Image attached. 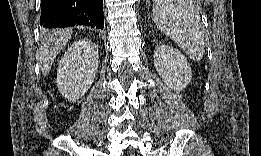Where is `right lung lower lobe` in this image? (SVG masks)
Instances as JSON below:
<instances>
[{"mask_svg":"<svg viewBox=\"0 0 261 156\" xmlns=\"http://www.w3.org/2000/svg\"><path fill=\"white\" fill-rule=\"evenodd\" d=\"M44 29L86 25L103 29V0H42Z\"/></svg>","mask_w":261,"mask_h":156,"instance_id":"right-lung-lower-lobe-1","label":"right lung lower lobe"}]
</instances>
